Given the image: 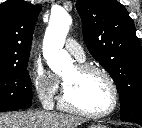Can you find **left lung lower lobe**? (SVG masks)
<instances>
[{"instance_id":"1","label":"left lung lower lobe","mask_w":142,"mask_h":128,"mask_svg":"<svg viewBox=\"0 0 142 128\" xmlns=\"http://www.w3.org/2000/svg\"><path fill=\"white\" fill-rule=\"evenodd\" d=\"M128 122H134L142 126V121H128Z\"/></svg>"}]
</instances>
